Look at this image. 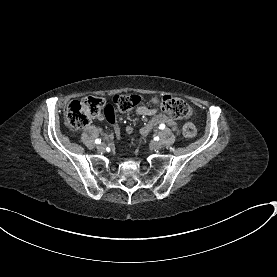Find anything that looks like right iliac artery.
Instances as JSON below:
<instances>
[{
  "label": "right iliac artery",
  "instance_id": "obj_1",
  "mask_svg": "<svg viewBox=\"0 0 277 277\" xmlns=\"http://www.w3.org/2000/svg\"><path fill=\"white\" fill-rule=\"evenodd\" d=\"M95 143H96V144H100V143H101V139H96V140H95Z\"/></svg>",
  "mask_w": 277,
  "mask_h": 277
}]
</instances>
